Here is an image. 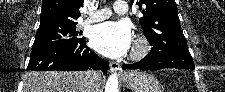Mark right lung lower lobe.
I'll return each instance as SVG.
<instances>
[{
  "instance_id": "right-lung-lower-lobe-1",
  "label": "right lung lower lobe",
  "mask_w": 225,
  "mask_h": 92,
  "mask_svg": "<svg viewBox=\"0 0 225 92\" xmlns=\"http://www.w3.org/2000/svg\"><path fill=\"white\" fill-rule=\"evenodd\" d=\"M28 70H101L109 69L107 61L86 46L85 38L79 42L33 49Z\"/></svg>"
}]
</instances>
